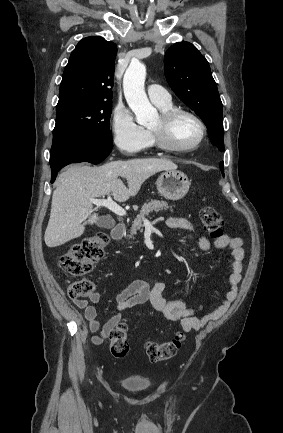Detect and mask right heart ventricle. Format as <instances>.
Segmentation results:
<instances>
[{"label": "right heart ventricle", "mask_w": 283, "mask_h": 433, "mask_svg": "<svg viewBox=\"0 0 283 433\" xmlns=\"http://www.w3.org/2000/svg\"><path fill=\"white\" fill-rule=\"evenodd\" d=\"M157 106L159 107L161 112H165V111H168V110L174 108V105L171 102L166 104V105H157Z\"/></svg>", "instance_id": "e07e8e85"}]
</instances>
